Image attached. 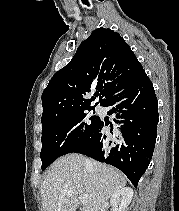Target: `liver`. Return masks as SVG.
I'll return each mask as SVG.
<instances>
[{
    "label": "liver",
    "mask_w": 179,
    "mask_h": 211,
    "mask_svg": "<svg viewBox=\"0 0 179 211\" xmlns=\"http://www.w3.org/2000/svg\"><path fill=\"white\" fill-rule=\"evenodd\" d=\"M120 171L80 154L57 159L41 184L44 211H77L79 196L87 199L81 211H99L115 192L126 185Z\"/></svg>",
    "instance_id": "liver-1"
}]
</instances>
